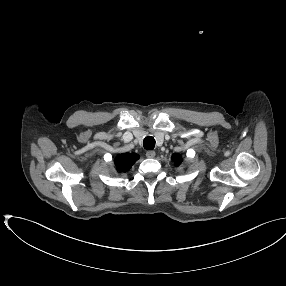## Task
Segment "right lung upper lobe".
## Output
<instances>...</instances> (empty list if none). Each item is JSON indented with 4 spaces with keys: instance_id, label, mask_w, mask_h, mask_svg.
Returning a JSON list of instances; mask_svg holds the SVG:
<instances>
[{
    "instance_id": "obj_1",
    "label": "right lung upper lobe",
    "mask_w": 286,
    "mask_h": 286,
    "mask_svg": "<svg viewBox=\"0 0 286 286\" xmlns=\"http://www.w3.org/2000/svg\"><path fill=\"white\" fill-rule=\"evenodd\" d=\"M138 159L139 155L135 153H123L115 158L114 163L119 172H126Z\"/></svg>"
}]
</instances>
